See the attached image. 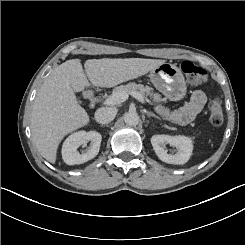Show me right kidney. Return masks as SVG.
<instances>
[{"mask_svg":"<svg viewBox=\"0 0 245 245\" xmlns=\"http://www.w3.org/2000/svg\"><path fill=\"white\" fill-rule=\"evenodd\" d=\"M102 136L96 131H78L71 134L63 143L62 158L68 165L82 164L93 159L99 152ZM90 146L81 153L77 150L81 145Z\"/></svg>","mask_w":245,"mask_h":245,"instance_id":"ca27d5eb","label":"right kidney"}]
</instances>
